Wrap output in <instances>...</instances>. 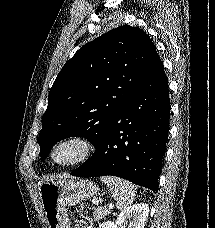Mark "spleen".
I'll use <instances>...</instances> for the list:
<instances>
[{
  "label": "spleen",
  "mask_w": 215,
  "mask_h": 228,
  "mask_svg": "<svg viewBox=\"0 0 215 228\" xmlns=\"http://www.w3.org/2000/svg\"><path fill=\"white\" fill-rule=\"evenodd\" d=\"M100 180L110 188L117 202L116 206L118 210H125L129 204L134 202L136 188L131 182H126V180H121V178H115V176H101Z\"/></svg>",
  "instance_id": "1"
}]
</instances>
